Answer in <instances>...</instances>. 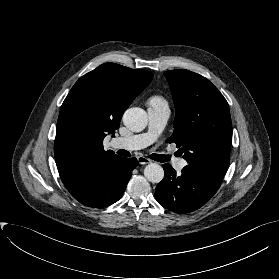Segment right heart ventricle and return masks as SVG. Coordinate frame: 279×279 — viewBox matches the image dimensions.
I'll return each instance as SVG.
<instances>
[{
  "instance_id": "right-heart-ventricle-1",
  "label": "right heart ventricle",
  "mask_w": 279,
  "mask_h": 279,
  "mask_svg": "<svg viewBox=\"0 0 279 279\" xmlns=\"http://www.w3.org/2000/svg\"><path fill=\"white\" fill-rule=\"evenodd\" d=\"M151 106H166L165 100L161 96H153L149 100Z\"/></svg>"
}]
</instances>
